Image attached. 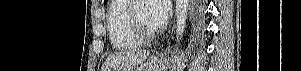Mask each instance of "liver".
<instances>
[{
    "mask_svg": "<svg viewBox=\"0 0 301 71\" xmlns=\"http://www.w3.org/2000/svg\"><path fill=\"white\" fill-rule=\"evenodd\" d=\"M149 55L146 50H130L110 55L102 65L101 71H121L124 68L142 64Z\"/></svg>",
    "mask_w": 301,
    "mask_h": 71,
    "instance_id": "liver-1",
    "label": "liver"
}]
</instances>
